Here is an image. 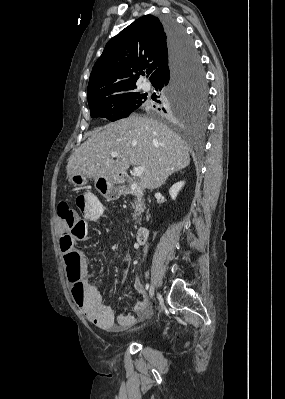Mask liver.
<instances>
[{
	"mask_svg": "<svg viewBox=\"0 0 285 399\" xmlns=\"http://www.w3.org/2000/svg\"><path fill=\"white\" fill-rule=\"evenodd\" d=\"M112 152L118 157L110 158ZM189 163V148L177 133L155 119L134 114L95 132L71 154L66 170L68 176L118 177L138 165L145 169L141 187L153 190Z\"/></svg>",
	"mask_w": 285,
	"mask_h": 399,
	"instance_id": "6515ba94",
	"label": "liver"
}]
</instances>
